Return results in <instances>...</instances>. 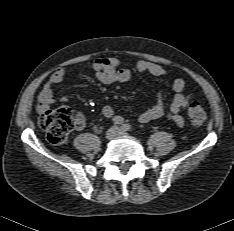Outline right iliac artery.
<instances>
[{"mask_svg":"<svg viewBox=\"0 0 234 231\" xmlns=\"http://www.w3.org/2000/svg\"><path fill=\"white\" fill-rule=\"evenodd\" d=\"M112 121H113L114 124L121 125V124L124 123V118H122L121 116H115L112 119Z\"/></svg>","mask_w":234,"mask_h":231,"instance_id":"1","label":"right iliac artery"}]
</instances>
